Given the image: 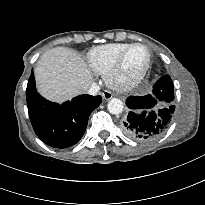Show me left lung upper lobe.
I'll use <instances>...</instances> for the list:
<instances>
[{"instance_id":"obj_1","label":"left lung upper lobe","mask_w":205,"mask_h":205,"mask_svg":"<svg viewBox=\"0 0 205 205\" xmlns=\"http://www.w3.org/2000/svg\"><path fill=\"white\" fill-rule=\"evenodd\" d=\"M154 87H158L161 92H165L169 96L167 102H172L174 100V87L173 82L169 75L161 77L155 84ZM163 94V93H162Z\"/></svg>"}]
</instances>
